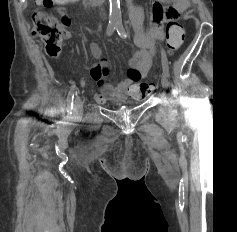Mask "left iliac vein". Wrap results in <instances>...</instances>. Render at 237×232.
<instances>
[{"label": "left iliac vein", "mask_w": 237, "mask_h": 232, "mask_svg": "<svg viewBox=\"0 0 237 232\" xmlns=\"http://www.w3.org/2000/svg\"><path fill=\"white\" fill-rule=\"evenodd\" d=\"M161 84L164 88H168L169 86V80L168 77L166 75H162L161 77Z\"/></svg>", "instance_id": "4c4485c4"}]
</instances>
